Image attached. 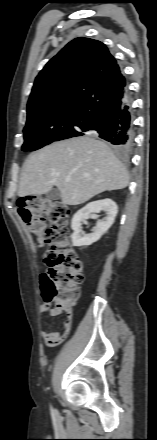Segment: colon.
<instances>
[{
  "label": "colon",
  "mask_w": 157,
  "mask_h": 440,
  "mask_svg": "<svg viewBox=\"0 0 157 440\" xmlns=\"http://www.w3.org/2000/svg\"><path fill=\"white\" fill-rule=\"evenodd\" d=\"M18 211L39 245L48 246L44 253L48 269L41 277L42 296L54 316L64 314L68 321L83 281L81 262L70 245L69 230L64 226L69 208L61 202L29 197L20 202Z\"/></svg>",
  "instance_id": "5ec220e1"
}]
</instances>
